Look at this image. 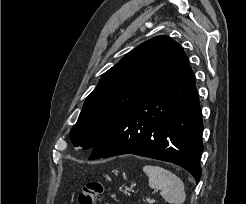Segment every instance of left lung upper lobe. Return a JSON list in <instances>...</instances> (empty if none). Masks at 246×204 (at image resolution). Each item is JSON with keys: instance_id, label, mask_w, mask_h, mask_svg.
Wrapping results in <instances>:
<instances>
[{"instance_id": "left-lung-upper-lobe-1", "label": "left lung upper lobe", "mask_w": 246, "mask_h": 204, "mask_svg": "<svg viewBox=\"0 0 246 204\" xmlns=\"http://www.w3.org/2000/svg\"><path fill=\"white\" fill-rule=\"evenodd\" d=\"M189 65L183 49L154 37L125 55L102 76L70 131L74 146L93 148L122 117Z\"/></svg>"}]
</instances>
